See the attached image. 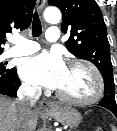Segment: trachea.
<instances>
[{"instance_id": "1", "label": "trachea", "mask_w": 117, "mask_h": 131, "mask_svg": "<svg viewBox=\"0 0 117 131\" xmlns=\"http://www.w3.org/2000/svg\"><path fill=\"white\" fill-rule=\"evenodd\" d=\"M42 34V26L39 15L37 12L34 13L32 22V35L33 37H39Z\"/></svg>"}]
</instances>
